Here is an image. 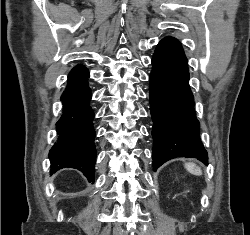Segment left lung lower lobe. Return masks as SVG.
Here are the masks:
<instances>
[{"label":"left lung lower lobe","instance_id":"1","mask_svg":"<svg viewBox=\"0 0 250 235\" xmlns=\"http://www.w3.org/2000/svg\"><path fill=\"white\" fill-rule=\"evenodd\" d=\"M152 65L149 97L154 170L177 157L196 158L208 164L193 108L188 61L181 43L173 37L162 39L152 57Z\"/></svg>","mask_w":250,"mask_h":235}]
</instances>
